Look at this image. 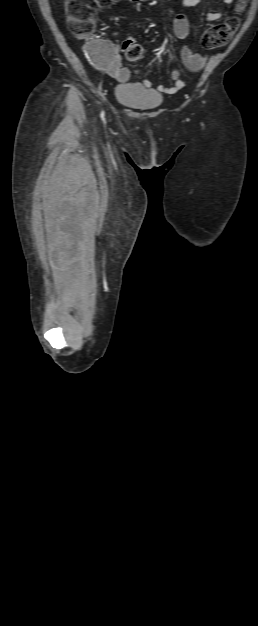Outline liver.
Wrapping results in <instances>:
<instances>
[{
    "instance_id": "6515ba94",
    "label": "liver",
    "mask_w": 258,
    "mask_h": 626,
    "mask_svg": "<svg viewBox=\"0 0 258 626\" xmlns=\"http://www.w3.org/2000/svg\"><path fill=\"white\" fill-rule=\"evenodd\" d=\"M47 214H48V209L45 210V215L47 216Z\"/></svg>"
}]
</instances>
